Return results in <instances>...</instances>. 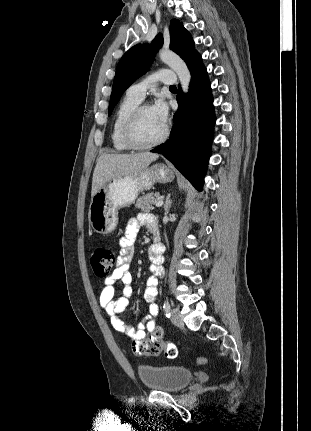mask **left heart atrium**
Instances as JSON below:
<instances>
[{"instance_id": "left-heart-atrium-1", "label": "left heart atrium", "mask_w": 311, "mask_h": 431, "mask_svg": "<svg viewBox=\"0 0 311 431\" xmlns=\"http://www.w3.org/2000/svg\"><path fill=\"white\" fill-rule=\"evenodd\" d=\"M152 112L158 119V121L163 125L166 126L168 116H169V107L165 99L161 96H158L153 105L151 106Z\"/></svg>"}]
</instances>
